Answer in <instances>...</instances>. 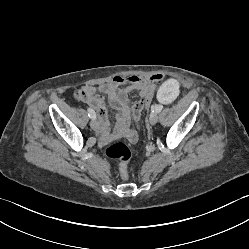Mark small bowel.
I'll list each match as a JSON object with an SVG mask.
<instances>
[{
    "label": "small bowel",
    "instance_id": "1",
    "mask_svg": "<svg viewBox=\"0 0 249 249\" xmlns=\"http://www.w3.org/2000/svg\"><path fill=\"white\" fill-rule=\"evenodd\" d=\"M163 80L164 77L162 75H153L150 77L116 76L110 82L98 87H81L78 91V97L96 111L99 118L98 129L103 141H109L126 135L130 142H135V132L130 128L129 92L132 89L139 90L140 95L149 103L154 97V84H159ZM98 92L107 96L111 108L116 111L117 124L112 133L109 131L105 99L102 95H98Z\"/></svg>",
    "mask_w": 249,
    "mask_h": 249
}]
</instances>
